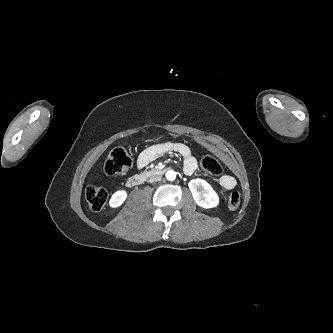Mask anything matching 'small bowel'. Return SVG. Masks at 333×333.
<instances>
[{"label":"small bowel","mask_w":333,"mask_h":333,"mask_svg":"<svg viewBox=\"0 0 333 333\" xmlns=\"http://www.w3.org/2000/svg\"><path fill=\"white\" fill-rule=\"evenodd\" d=\"M167 152H175L179 154L184 160V172L191 175L197 168V161L191 149L183 143L167 142L162 144H155L144 149L137 158V167L144 168L158 157ZM219 186L222 190L228 191L236 186V180L231 175H222L219 178Z\"/></svg>","instance_id":"obj_1"}]
</instances>
